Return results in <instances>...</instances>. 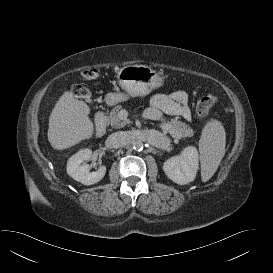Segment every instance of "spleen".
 Returning a JSON list of instances; mask_svg holds the SVG:
<instances>
[{"label":"spleen","mask_w":273,"mask_h":273,"mask_svg":"<svg viewBox=\"0 0 273 273\" xmlns=\"http://www.w3.org/2000/svg\"><path fill=\"white\" fill-rule=\"evenodd\" d=\"M226 133L223 125L216 119H211L202 130L199 140L201 162V178L208 181L216 172L225 155Z\"/></svg>","instance_id":"spleen-1"}]
</instances>
